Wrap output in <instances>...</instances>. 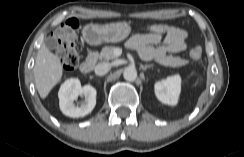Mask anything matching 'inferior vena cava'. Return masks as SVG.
<instances>
[{"mask_svg": "<svg viewBox=\"0 0 244 157\" xmlns=\"http://www.w3.org/2000/svg\"><path fill=\"white\" fill-rule=\"evenodd\" d=\"M111 69V64L107 62H102L96 65L95 74L98 76H103L109 72Z\"/></svg>", "mask_w": 244, "mask_h": 157, "instance_id": "obj_1", "label": "inferior vena cava"}]
</instances>
